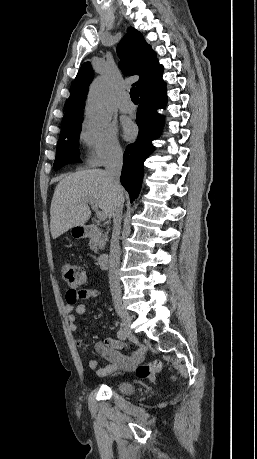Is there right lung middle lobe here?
Returning a JSON list of instances; mask_svg holds the SVG:
<instances>
[{"label":"right lung middle lobe","mask_w":257,"mask_h":459,"mask_svg":"<svg viewBox=\"0 0 257 459\" xmlns=\"http://www.w3.org/2000/svg\"><path fill=\"white\" fill-rule=\"evenodd\" d=\"M80 131L81 123L60 133V139L58 140L56 150V159L53 165L55 170L67 163L81 162L78 150Z\"/></svg>","instance_id":"dd1d6c3e"}]
</instances>
